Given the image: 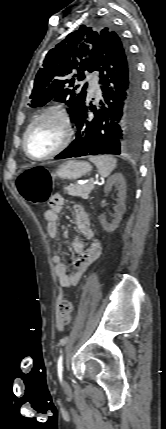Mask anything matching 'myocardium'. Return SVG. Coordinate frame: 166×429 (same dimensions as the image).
<instances>
[{"instance_id": "myocardium-1", "label": "myocardium", "mask_w": 166, "mask_h": 429, "mask_svg": "<svg viewBox=\"0 0 166 429\" xmlns=\"http://www.w3.org/2000/svg\"><path fill=\"white\" fill-rule=\"evenodd\" d=\"M47 117L56 118L61 122L62 129H63L62 140L60 144L49 154L42 157H34L28 151V147H27L28 136L31 130L33 129V127L39 121ZM72 135H73V128H72L71 117L69 115L68 110L62 105H53L41 111L26 128L23 135V143H22L23 151L26 154V156L31 160H34V161L48 160L60 154L68 147V145L71 142Z\"/></svg>"}]
</instances>
